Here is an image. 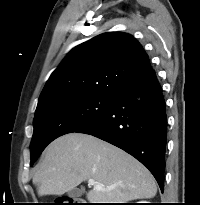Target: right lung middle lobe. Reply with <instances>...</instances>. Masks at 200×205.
I'll list each match as a JSON object with an SVG mask.
<instances>
[{
  "label": "right lung middle lobe",
  "mask_w": 200,
  "mask_h": 205,
  "mask_svg": "<svg viewBox=\"0 0 200 205\" xmlns=\"http://www.w3.org/2000/svg\"><path fill=\"white\" fill-rule=\"evenodd\" d=\"M113 101L114 97L78 96L56 102L35 113L30 165L50 142L93 123L107 112Z\"/></svg>",
  "instance_id": "obj_1"
}]
</instances>
